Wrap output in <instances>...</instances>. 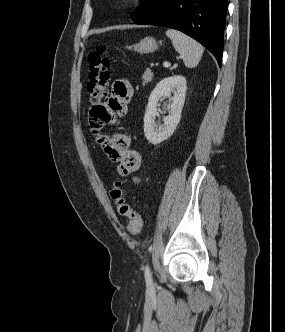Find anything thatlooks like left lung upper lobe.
I'll return each instance as SVG.
<instances>
[{"mask_svg":"<svg viewBox=\"0 0 285 332\" xmlns=\"http://www.w3.org/2000/svg\"><path fill=\"white\" fill-rule=\"evenodd\" d=\"M160 0H142L141 5L139 8L133 13L132 19L137 20L138 18L142 17L143 15L147 14L151 11L159 2Z\"/></svg>","mask_w":285,"mask_h":332,"instance_id":"obj_1","label":"left lung upper lobe"}]
</instances>
